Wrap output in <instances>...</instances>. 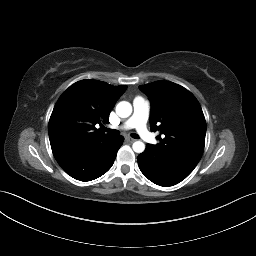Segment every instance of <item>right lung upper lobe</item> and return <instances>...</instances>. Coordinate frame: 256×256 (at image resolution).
Here are the masks:
<instances>
[{"label":"right lung upper lobe","instance_id":"cb5924a9","mask_svg":"<svg viewBox=\"0 0 256 256\" xmlns=\"http://www.w3.org/2000/svg\"><path fill=\"white\" fill-rule=\"evenodd\" d=\"M126 89L87 79L74 83L60 96L48 125L56 160L113 137L95 125L109 121L111 109Z\"/></svg>","mask_w":256,"mask_h":256}]
</instances>
